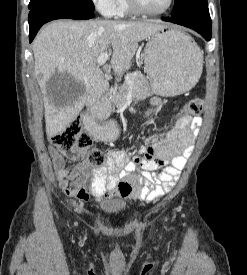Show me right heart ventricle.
<instances>
[{
  "mask_svg": "<svg viewBox=\"0 0 247 275\" xmlns=\"http://www.w3.org/2000/svg\"><path fill=\"white\" fill-rule=\"evenodd\" d=\"M133 11L130 8L128 0H118L117 7L113 16L125 17L131 15Z\"/></svg>",
  "mask_w": 247,
  "mask_h": 275,
  "instance_id": "e07e8e85",
  "label": "right heart ventricle"
}]
</instances>
